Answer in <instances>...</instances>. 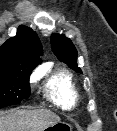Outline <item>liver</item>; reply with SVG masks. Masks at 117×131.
<instances>
[{"label":"liver","instance_id":"1","mask_svg":"<svg viewBox=\"0 0 117 131\" xmlns=\"http://www.w3.org/2000/svg\"><path fill=\"white\" fill-rule=\"evenodd\" d=\"M58 121L60 118L49 110H15L0 114V131H43Z\"/></svg>","mask_w":117,"mask_h":131}]
</instances>
